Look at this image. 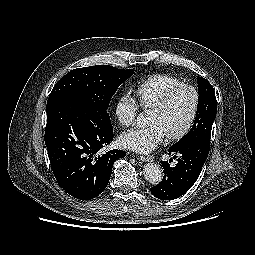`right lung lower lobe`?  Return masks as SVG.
<instances>
[{"label":"right lung lower lobe","instance_id":"right-lung-lower-lobe-1","mask_svg":"<svg viewBox=\"0 0 255 255\" xmlns=\"http://www.w3.org/2000/svg\"><path fill=\"white\" fill-rule=\"evenodd\" d=\"M113 140V128L99 127L88 112L62 100L47 110L45 144L58 184L71 196L90 200L106 188L113 163L125 151L99 150Z\"/></svg>","mask_w":255,"mask_h":255}]
</instances>
